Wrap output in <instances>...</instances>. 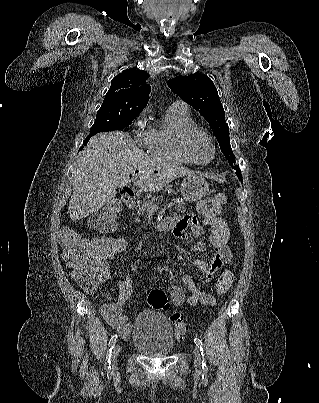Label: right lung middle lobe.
I'll return each mask as SVG.
<instances>
[{"instance_id": "obj_1", "label": "right lung middle lobe", "mask_w": 319, "mask_h": 403, "mask_svg": "<svg viewBox=\"0 0 319 403\" xmlns=\"http://www.w3.org/2000/svg\"><path fill=\"white\" fill-rule=\"evenodd\" d=\"M141 112L139 109L119 104H102L90 133L119 130L127 128Z\"/></svg>"}]
</instances>
